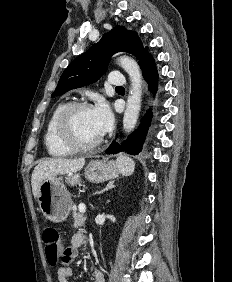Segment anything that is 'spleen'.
<instances>
[{"label": "spleen", "instance_id": "3e777b00", "mask_svg": "<svg viewBox=\"0 0 232 282\" xmlns=\"http://www.w3.org/2000/svg\"><path fill=\"white\" fill-rule=\"evenodd\" d=\"M117 167L123 175H130L134 171L135 163L126 156H119L116 160Z\"/></svg>", "mask_w": 232, "mask_h": 282}]
</instances>
